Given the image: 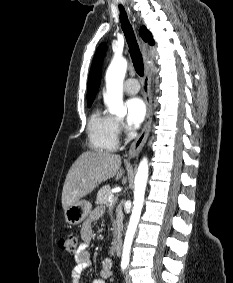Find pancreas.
Listing matches in <instances>:
<instances>
[{
	"label": "pancreas",
	"instance_id": "1",
	"mask_svg": "<svg viewBox=\"0 0 233 283\" xmlns=\"http://www.w3.org/2000/svg\"><path fill=\"white\" fill-rule=\"evenodd\" d=\"M110 195H113L111 187L109 185L103 186L102 188H100V190L97 193L96 203L110 206V203L108 201V197ZM116 212H117L116 229L119 232L122 227V218H123L122 208L120 205L117 207Z\"/></svg>",
	"mask_w": 233,
	"mask_h": 283
}]
</instances>
